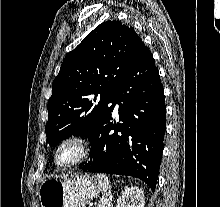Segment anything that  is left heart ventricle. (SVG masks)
<instances>
[{"mask_svg": "<svg viewBox=\"0 0 220 207\" xmlns=\"http://www.w3.org/2000/svg\"><path fill=\"white\" fill-rule=\"evenodd\" d=\"M76 153H77V150L74 146H71V145L66 146L60 151L58 160L60 162H67L73 159Z\"/></svg>", "mask_w": 220, "mask_h": 207, "instance_id": "left-heart-ventricle-1", "label": "left heart ventricle"}]
</instances>
